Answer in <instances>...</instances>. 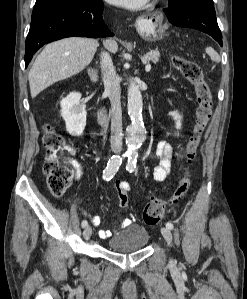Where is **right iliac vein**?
I'll list each match as a JSON object with an SVG mask.
<instances>
[{"mask_svg": "<svg viewBox=\"0 0 247 299\" xmlns=\"http://www.w3.org/2000/svg\"><path fill=\"white\" fill-rule=\"evenodd\" d=\"M92 229L90 226H87L83 231V237L85 240H88L91 237Z\"/></svg>", "mask_w": 247, "mask_h": 299, "instance_id": "1", "label": "right iliac vein"}]
</instances>
